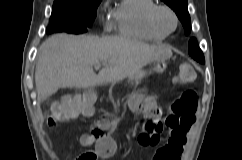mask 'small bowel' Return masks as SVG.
Returning a JSON list of instances; mask_svg holds the SVG:
<instances>
[{"mask_svg": "<svg viewBox=\"0 0 242 160\" xmlns=\"http://www.w3.org/2000/svg\"><path fill=\"white\" fill-rule=\"evenodd\" d=\"M130 109L133 111L140 109V103L137 101H132L130 103ZM93 112V108H91L87 111H84L82 114L84 116H91L93 115ZM111 129L112 126L110 125L106 131L99 132V135H97L96 140L92 142L95 145L96 155L100 156L101 158L113 155L116 150L115 140L110 135ZM175 130L177 129L170 128L169 138L161 147H159L155 151L152 160H182L183 150L187 142L188 129L178 128V130L182 132L181 140L172 137V132ZM81 156L82 154L76 160H80Z\"/></svg>", "mask_w": 242, "mask_h": 160, "instance_id": "small-bowel-1", "label": "small bowel"}]
</instances>
